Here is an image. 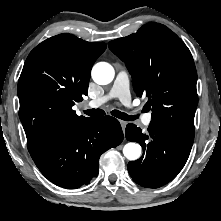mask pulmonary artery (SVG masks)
I'll use <instances>...</instances> for the list:
<instances>
[{
    "label": "pulmonary artery",
    "instance_id": "pulmonary-artery-1",
    "mask_svg": "<svg viewBox=\"0 0 221 221\" xmlns=\"http://www.w3.org/2000/svg\"><path fill=\"white\" fill-rule=\"evenodd\" d=\"M113 98L119 99L120 102L126 106L129 105L131 102V96H130V91H129V77L125 71H120L117 74L112 88L106 95L100 98L91 100L88 103V106L90 108H97L101 106L102 104H104L105 102H107L108 100L113 99ZM151 121H152V115L150 113L143 115L142 123L145 126H148L151 123Z\"/></svg>",
    "mask_w": 221,
    "mask_h": 221
}]
</instances>
